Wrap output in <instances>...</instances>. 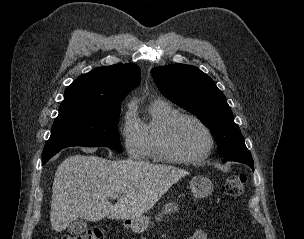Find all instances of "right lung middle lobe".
<instances>
[{
    "label": "right lung middle lobe",
    "mask_w": 304,
    "mask_h": 239,
    "mask_svg": "<svg viewBox=\"0 0 304 239\" xmlns=\"http://www.w3.org/2000/svg\"><path fill=\"white\" fill-rule=\"evenodd\" d=\"M120 106L59 112L44 151L70 146H106L121 152L118 135Z\"/></svg>",
    "instance_id": "dd1d6c3e"
}]
</instances>
